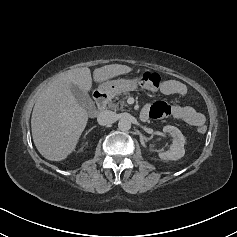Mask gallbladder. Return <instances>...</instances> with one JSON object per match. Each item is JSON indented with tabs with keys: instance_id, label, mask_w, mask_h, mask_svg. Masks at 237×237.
Masks as SVG:
<instances>
[{
	"instance_id": "gallbladder-1",
	"label": "gallbladder",
	"mask_w": 237,
	"mask_h": 237,
	"mask_svg": "<svg viewBox=\"0 0 237 237\" xmlns=\"http://www.w3.org/2000/svg\"><path fill=\"white\" fill-rule=\"evenodd\" d=\"M71 92L77 102L84 107L85 109H90L94 105L93 100L89 96V94L83 90H81L77 85L72 84L71 87Z\"/></svg>"
}]
</instances>
